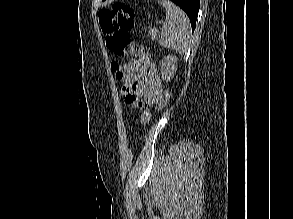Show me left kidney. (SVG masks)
<instances>
[{
    "mask_svg": "<svg viewBox=\"0 0 293 219\" xmlns=\"http://www.w3.org/2000/svg\"><path fill=\"white\" fill-rule=\"evenodd\" d=\"M177 70V57L169 55L160 62V73L163 80L170 81Z\"/></svg>",
    "mask_w": 293,
    "mask_h": 219,
    "instance_id": "obj_1",
    "label": "left kidney"
}]
</instances>
